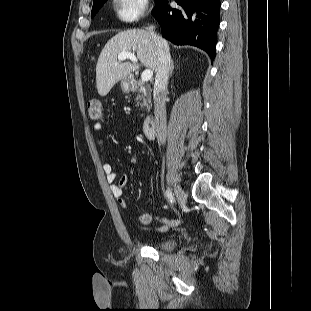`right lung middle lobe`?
<instances>
[{"label":"right lung middle lobe","instance_id":"right-lung-middle-lobe-1","mask_svg":"<svg viewBox=\"0 0 311 311\" xmlns=\"http://www.w3.org/2000/svg\"><path fill=\"white\" fill-rule=\"evenodd\" d=\"M107 0H96L93 3L92 11H91V18L95 16L97 11L101 8V6L106 2ZM159 1V0H157Z\"/></svg>","mask_w":311,"mask_h":311}]
</instances>
